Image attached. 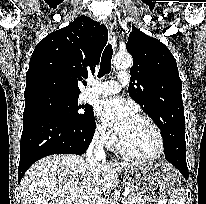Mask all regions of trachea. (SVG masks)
<instances>
[{
    "label": "trachea",
    "instance_id": "1",
    "mask_svg": "<svg viewBox=\"0 0 206 204\" xmlns=\"http://www.w3.org/2000/svg\"><path fill=\"white\" fill-rule=\"evenodd\" d=\"M113 55L112 45L109 43L103 51L98 77H102L111 70V59Z\"/></svg>",
    "mask_w": 206,
    "mask_h": 204
}]
</instances>
